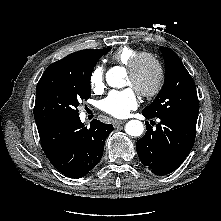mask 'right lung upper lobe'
I'll list each match as a JSON object with an SVG mask.
<instances>
[{"label":"right lung upper lobe","instance_id":"obj_1","mask_svg":"<svg viewBox=\"0 0 221 221\" xmlns=\"http://www.w3.org/2000/svg\"><path fill=\"white\" fill-rule=\"evenodd\" d=\"M110 49L111 48L108 47V48L99 49V50H93L92 49V50H82V51L74 52V53L66 56L63 59H61L57 62H54L53 64H60V63L71 61V60H74V59H77V58H80V57L88 56V55L93 54L95 52H102V51H106V50H110Z\"/></svg>","mask_w":221,"mask_h":221}]
</instances>
